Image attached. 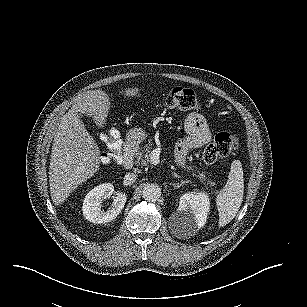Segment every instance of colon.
Wrapping results in <instances>:
<instances>
[{"label": "colon", "mask_w": 307, "mask_h": 307, "mask_svg": "<svg viewBox=\"0 0 307 307\" xmlns=\"http://www.w3.org/2000/svg\"><path fill=\"white\" fill-rule=\"evenodd\" d=\"M164 103L169 108L181 111H193L198 108V100L193 90L184 87H174L165 97ZM105 141L109 150L103 156L104 163L118 161L121 157V142L118 133L114 130L105 133ZM239 147V137L236 134L221 132L202 152L205 163H213L217 159L226 157Z\"/></svg>", "instance_id": "5ec220e1"}]
</instances>
